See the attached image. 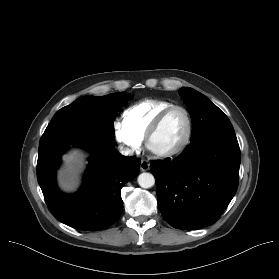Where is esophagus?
Here are the masks:
<instances>
[{
	"mask_svg": "<svg viewBox=\"0 0 279 279\" xmlns=\"http://www.w3.org/2000/svg\"><path fill=\"white\" fill-rule=\"evenodd\" d=\"M150 168V164L147 160H141L140 169L141 171H147Z\"/></svg>",
	"mask_w": 279,
	"mask_h": 279,
	"instance_id": "1",
	"label": "esophagus"
}]
</instances>
